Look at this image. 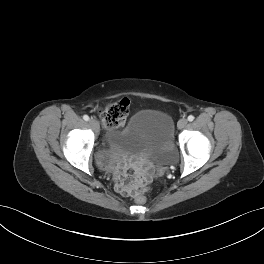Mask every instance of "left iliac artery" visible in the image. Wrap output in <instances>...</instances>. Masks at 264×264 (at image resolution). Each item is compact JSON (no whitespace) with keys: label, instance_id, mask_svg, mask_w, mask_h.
Here are the masks:
<instances>
[{"label":"left iliac artery","instance_id":"obj_1","mask_svg":"<svg viewBox=\"0 0 264 264\" xmlns=\"http://www.w3.org/2000/svg\"><path fill=\"white\" fill-rule=\"evenodd\" d=\"M187 119H188V121H190V122H191V121H193V120H194V116H193V115H189Z\"/></svg>","mask_w":264,"mask_h":264}]
</instances>
